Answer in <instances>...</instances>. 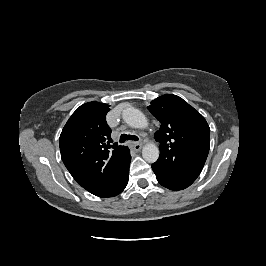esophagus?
I'll return each mask as SVG.
<instances>
[{
  "mask_svg": "<svg viewBox=\"0 0 266 266\" xmlns=\"http://www.w3.org/2000/svg\"><path fill=\"white\" fill-rule=\"evenodd\" d=\"M132 147L134 150L139 151L142 148V143L134 142L132 143Z\"/></svg>",
  "mask_w": 266,
  "mask_h": 266,
  "instance_id": "34e87169",
  "label": "esophagus"
}]
</instances>
